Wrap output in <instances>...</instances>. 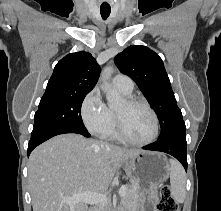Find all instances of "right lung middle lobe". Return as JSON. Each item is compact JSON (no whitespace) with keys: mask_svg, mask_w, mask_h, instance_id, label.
Wrapping results in <instances>:
<instances>
[{"mask_svg":"<svg viewBox=\"0 0 221 211\" xmlns=\"http://www.w3.org/2000/svg\"><path fill=\"white\" fill-rule=\"evenodd\" d=\"M86 94H44L34 116L32 134L57 127L86 129L80 114Z\"/></svg>","mask_w":221,"mask_h":211,"instance_id":"1","label":"right lung middle lobe"}]
</instances>
